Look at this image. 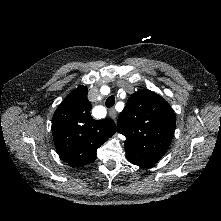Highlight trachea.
I'll return each instance as SVG.
<instances>
[{
	"label": "trachea",
	"instance_id": "1",
	"mask_svg": "<svg viewBox=\"0 0 221 221\" xmlns=\"http://www.w3.org/2000/svg\"><path fill=\"white\" fill-rule=\"evenodd\" d=\"M106 107L108 108H111L115 105V97L114 96H109L107 99H106Z\"/></svg>",
	"mask_w": 221,
	"mask_h": 221
}]
</instances>
